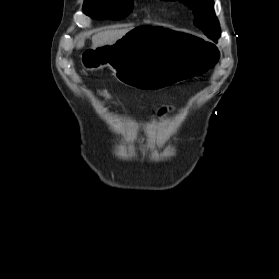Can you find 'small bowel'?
<instances>
[{"label": "small bowel", "instance_id": "obj_1", "mask_svg": "<svg viewBox=\"0 0 279 279\" xmlns=\"http://www.w3.org/2000/svg\"><path fill=\"white\" fill-rule=\"evenodd\" d=\"M167 111V108H162L158 111V115H163Z\"/></svg>", "mask_w": 279, "mask_h": 279}]
</instances>
